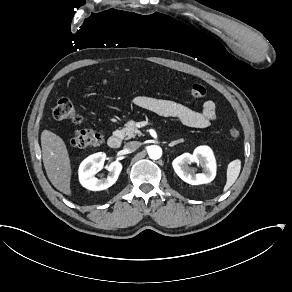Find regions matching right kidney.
Listing matches in <instances>:
<instances>
[{
	"label": "right kidney",
	"instance_id": "1",
	"mask_svg": "<svg viewBox=\"0 0 292 292\" xmlns=\"http://www.w3.org/2000/svg\"><path fill=\"white\" fill-rule=\"evenodd\" d=\"M105 154L97 153L85 159L79 168V179L83 187L91 191H101L111 187L123 168L119 161H112L106 169L110 172L107 178H95V174L104 167Z\"/></svg>",
	"mask_w": 292,
	"mask_h": 292
}]
</instances>
